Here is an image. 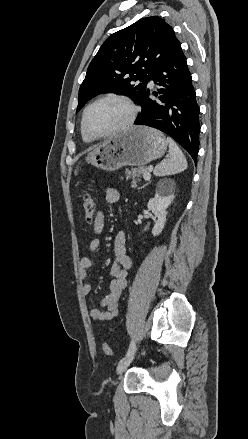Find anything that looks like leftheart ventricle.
Wrapping results in <instances>:
<instances>
[{
	"label": "left heart ventricle",
	"instance_id": "obj_1",
	"mask_svg": "<svg viewBox=\"0 0 248 439\" xmlns=\"http://www.w3.org/2000/svg\"><path fill=\"white\" fill-rule=\"evenodd\" d=\"M129 116L125 105L115 100H104L94 105L86 117V126L95 134L112 131L123 125Z\"/></svg>",
	"mask_w": 248,
	"mask_h": 439
}]
</instances>
